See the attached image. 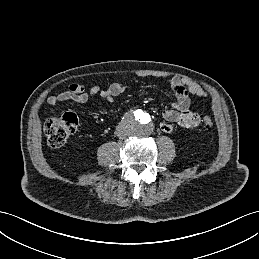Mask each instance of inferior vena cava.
I'll use <instances>...</instances> for the list:
<instances>
[{
  "mask_svg": "<svg viewBox=\"0 0 259 259\" xmlns=\"http://www.w3.org/2000/svg\"><path fill=\"white\" fill-rule=\"evenodd\" d=\"M117 135L119 138H124L125 134L122 131H117Z\"/></svg>",
  "mask_w": 259,
  "mask_h": 259,
  "instance_id": "obj_1",
  "label": "inferior vena cava"
}]
</instances>
